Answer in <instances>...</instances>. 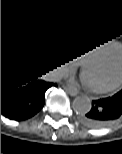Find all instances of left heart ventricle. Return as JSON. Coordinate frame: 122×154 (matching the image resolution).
I'll return each mask as SVG.
<instances>
[{"label": "left heart ventricle", "instance_id": "left-heart-ventricle-1", "mask_svg": "<svg viewBox=\"0 0 122 154\" xmlns=\"http://www.w3.org/2000/svg\"><path fill=\"white\" fill-rule=\"evenodd\" d=\"M122 62V58L111 57L92 65L84 74V80L90 86H103L110 84L122 75V68L113 69Z\"/></svg>", "mask_w": 122, "mask_h": 154}]
</instances>
